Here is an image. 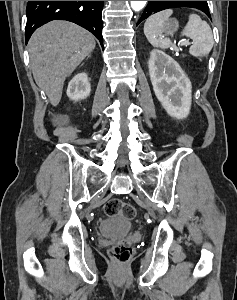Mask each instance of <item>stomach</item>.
Listing matches in <instances>:
<instances>
[{
  "mask_svg": "<svg viewBox=\"0 0 237 300\" xmlns=\"http://www.w3.org/2000/svg\"><path fill=\"white\" fill-rule=\"evenodd\" d=\"M179 23L176 19H168L164 25L163 33L165 35H173L175 31H178Z\"/></svg>",
  "mask_w": 237,
  "mask_h": 300,
  "instance_id": "stomach-1",
  "label": "stomach"
}]
</instances>
